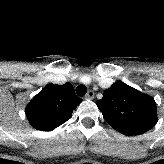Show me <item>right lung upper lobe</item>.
Here are the masks:
<instances>
[{
    "label": "right lung upper lobe",
    "mask_w": 164,
    "mask_h": 164,
    "mask_svg": "<svg viewBox=\"0 0 164 164\" xmlns=\"http://www.w3.org/2000/svg\"><path fill=\"white\" fill-rule=\"evenodd\" d=\"M81 101L70 83L48 84L27 105L26 116L35 129L51 131L68 121Z\"/></svg>",
    "instance_id": "obj_1"
}]
</instances>
